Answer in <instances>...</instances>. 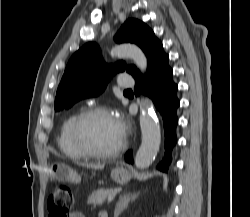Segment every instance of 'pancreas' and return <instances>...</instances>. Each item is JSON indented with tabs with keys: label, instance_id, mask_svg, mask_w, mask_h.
<instances>
[{
	"label": "pancreas",
	"instance_id": "pancreas-1",
	"mask_svg": "<svg viewBox=\"0 0 250 217\" xmlns=\"http://www.w3.org/2000/svg\"><path fill=\"white\" fill-rule=\"evenodd\" d=\"M116 193L114 188L110 189H99L97 191L92 192V194L88 197V204H92L93 206L102 205L106 198L110 195H114Z\"/></svg>",
	"mask_w": 250,
	"mask_h": 217
}]
</instances>
